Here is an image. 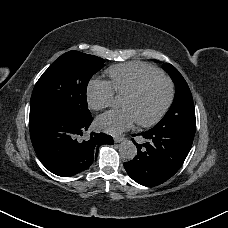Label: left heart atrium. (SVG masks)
<instances>
[{"label":"left heart atrium","mask_w":228,"mask_h":228,"mask_svg":"<svg viewBox=\"0 0 228 228\" xmlns=\"http://www.w3.org/2000/svg\"><path fill=\"white\" fill-rule=\"evenodd\" d=\"M134 120V114L129 109L120 112L111 111L102 115L98 119L102 129L112 134L120 133L128 128Z\"/></svg>","instance_id":"obj_1"}]
</instances>
